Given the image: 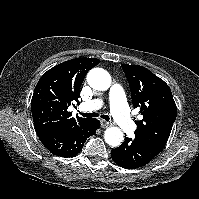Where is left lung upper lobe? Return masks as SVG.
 <instances>
[{
    "label": "left lung upper lobe",
    "mask_w": 199,
    "mask_h": 199,
    "mask_svg": "<svg viewBox=\"0 0 199 199\" xmlns=\"http://www.w3.org/2000/svg\"><path fill=\"white\" fill-rule=\"evenodd\" d=\"M128 80L134 108L143 119L135 121V138L162 151L176 119L177 107L169 86L139 65H121Z\"/></svg>",
    "instance_id": "obj_1"
}]
</instances>
